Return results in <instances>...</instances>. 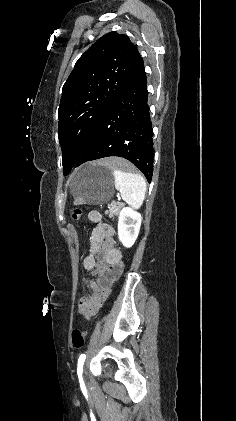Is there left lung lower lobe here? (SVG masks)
I'll return each mask as SVG.
<instances>
[{
	"instance_id": "1",
	"label": "left lung lower lobe",
	"mask_w": 236,
	"mask_h": 421,
	"mask_svg": "<svg viewBox=\"0 0 236 421\" xmlns=\"http://www.w3.org/2000/svg\"><path fill=\"white\" fill-rule=\"evenodd\" d=\"M147 101V79L139 54L123 89L89 137L75 165L63 164L64 175H68L72 167L87 161L120 156L138 167L150 182L153 174V130Z\"/></svg>"
}]
</instances>
